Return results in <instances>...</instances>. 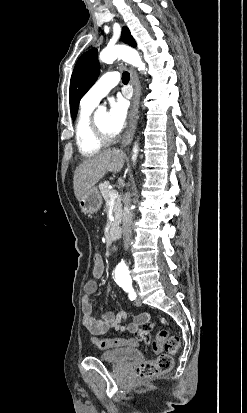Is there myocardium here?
<instances>
[{"label": "myocardium", "instance_id": "obj_1", "mask_svg": "<svg viewBox=\"0 0 247 413\" xmlns=\"http://www.w3.org/2000/svg\"><path fill=\"white\" fill-rule=\"evenodd\" d=\"M93 131L95 138L103 145H110L113 141V137L104 133V131L98 127L93 125Z\"/></svg>", "mask_w": 247, "mask_h": 413}]
</instances>
